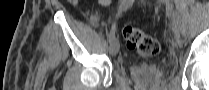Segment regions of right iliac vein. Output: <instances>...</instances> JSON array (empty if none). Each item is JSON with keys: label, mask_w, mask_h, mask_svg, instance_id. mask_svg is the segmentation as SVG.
<instances>
[{"label": "right iliac vein", "mask_w": 209, "mask_h": 90, "mask_svg": "<svg viewBox=\"0 0 209 90\" xmlns=\"http://www.w3.org/2000/svg\"><path fill=\"white\" fill-rule=\"evenodd\" d=\"M109 51H110V54L113 56L118 53V51H119V40L118 39H114L111 42Z\"/></svg>", "instance_id": "obj_1"}]
</instances>
